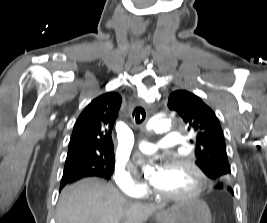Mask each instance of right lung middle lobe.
Here are the masks:
<instances>
[{
    "mask_svg": "<svg viewBox=\"0 0 267 223\" xmlns=\"http://www.w3.org/2000/svg\"><path fill=\"white\" fill-rule=\"evenodd\" d=\"M114 169V155L103 156L95 155L83 157L77 160H66L64 171L71 172L80 170L89 173H96L109 179Z\"/></svg>",
    "mask_w": 267,
    "mask_h": 223,
    "instance_id": "dd1d6c3e",
    "label": "right lung middle lobe"
}]
</instances>
